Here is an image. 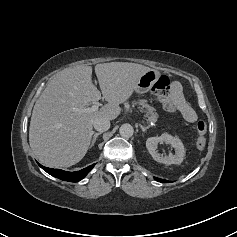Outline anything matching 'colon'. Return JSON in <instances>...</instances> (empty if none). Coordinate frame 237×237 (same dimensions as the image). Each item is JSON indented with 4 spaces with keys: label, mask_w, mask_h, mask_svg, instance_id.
Segmentation results:
<instances>
[{
    "label": "colon",
    "mask_w": 237,
    "mask_h": 237,
    "mask_svg": "<svg viewBox=\"0 0 237 237\" xmlns=\"http://www.w3.org/2000/svg\"><path fill=\"white\" fill-rule=\"evenodd\" d=\"M152 92L160 99L166 111L175 113L178 110L176 103L172 98V91L169 79L166 76H160L152 87ZM198 138L196 147L203 150L206 145L207 125L204 121H199L196 125Z\"/></svg>",
    "instance_id": "5ec220e1"
}]
</instances>
